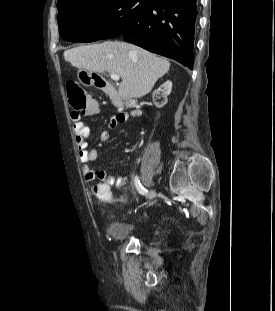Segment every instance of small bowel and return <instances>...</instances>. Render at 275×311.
Segmentation results:
<instances>
[{"label":"small bowel","mask_w":275,"mask_h":311,"mask_svg":"<svg viewBox=\"0 0 275 311\" xmlns=\"http://www.w3.org/2000/svg\"><path fill=\"white\" fill-rule=\"evenodd\" d=\"M141 116L142 112L138 109L131 112H121L110 119L108 127L115 128L120 123L127 121L129 117L139 118ZM71 117L73 120L75 141L78 148V157L82 165V173L85 180L90 184H94L98 180L99 183H113L116 186L124 185L125 178L117 173H108L105 169H95L90 166V163L97 159L98 150L105 146L109 138V133L103 132L97 140L95 148L90 149L87 142L89 137L88 127L80 119L79 113L73 112Z\"/></svg>","instance_id":"1"}]
</instances>
